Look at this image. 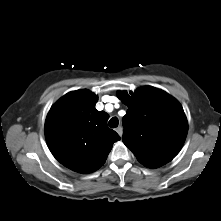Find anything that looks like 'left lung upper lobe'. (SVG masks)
I'll list each match as a JSON object with an SVG mask.
<instances>
[{"instance_id": "1", "label": "left lung upper lobe", "mask_w": 221, "mask_h": 221, "mask_svg": "<svg viewBox=\"0 0 221 221\" xmlns=\"http://www.w3.org/2000/svg\"><path fill=\"white\" fill-rule=\"evenodd\" d=\"M118 98L128 106L122 141L138 161L149 168L171 161L182 148L188 131L180 103L151 86L135 93L120 91Z\"/></svg>"}]
</instances>
